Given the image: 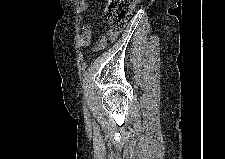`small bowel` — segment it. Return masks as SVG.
Listing matches in <instances>:
<instances>
[{
	"label": "small bowel",
	"instance_id": "small-bowel-1",
	"mask_svg": "<svg viewBox=\"0 0 225 159\" xmlns=\"http://www.w3.org/2000/svg\"><path fill=\"white\" fill-rule=\"evenodd\" d=\"M88 9V3L85 0H80L77 4V11L79 13H83ZM92 37V27L88 21H86L80 30V33L77 36V43L82 46L86 47L90 44ZM115 39V35L111 32H106L95 44L92 48L93 51L101 50L105 48L110 42Z\"/></svg>",
	"mask_w": 225,
	"mask_h": 159
}]
</instances>
